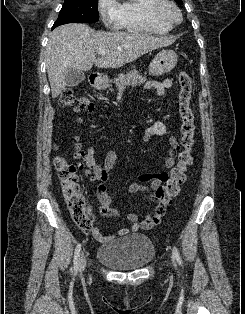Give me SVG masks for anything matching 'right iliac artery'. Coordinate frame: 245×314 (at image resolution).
<instances>
[{
  "label": "right iliac artery",
  "mask_w": 245,
  "mask_h": 314,
  "mask_svg": "<svg viewBox=\"0 0 245 314\" xmlns=\"http://www.w3.org/2000/svg\"><path fill=\"white\" fill-rule=\"evenodd\" d=\"M80 251H81V244L79 243L77 246H76V249H75V254H74V265H73V269H74V272L76 273L79 269V259H80Z\"/></svg>",
  "instance_id": "right-iliac-artery-1"
}]
</instances>
